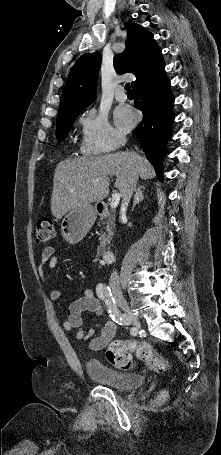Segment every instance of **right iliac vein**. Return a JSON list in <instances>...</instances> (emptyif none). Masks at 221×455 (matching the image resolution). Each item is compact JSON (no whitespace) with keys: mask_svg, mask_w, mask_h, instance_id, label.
<instances>
[{"mask_svg":"<svg viewBox=\"0 0 221 455\" xmlns=\"http://www.w3.org/2000/svg\"><path fill=\"white\" fill-rule=\"evenodd\" d=\"M114 299L116 301V303L127 313L130 321L136 326V327H140V322H139V319L136 315H134L127 303V301L125 300V298L122 296V295H115L114 296Z\"/></svg>","mask_w":221,"mask_h":455,"instance_id":"1","label":"right iliac vein"}]
</instances>
